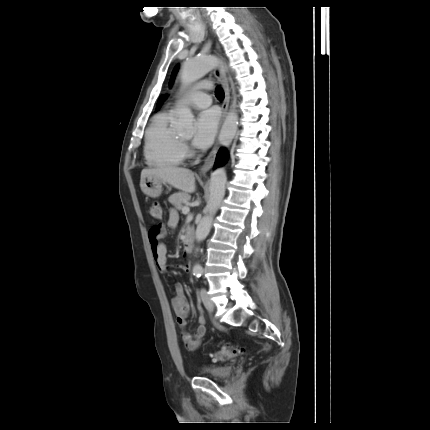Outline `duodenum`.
Masks as SVG:
<instances>
[{"mask_svg":"<svg viewBox=\"0 0 430 430\" xmlns=\"http://www.w3.org/2000/svg\"><path fill=\"white\" fill-rule=\"evenodd\" d=\"M183 249L184 252L189 253L193 249V238L190 233H187L185 235L184 241H183Z\"/></svg>","mask_w":430,"mask_h":430,"instance_id":"1","label":"duodenum"}]
</instances>
